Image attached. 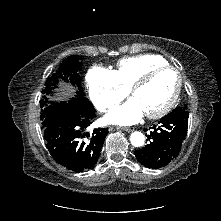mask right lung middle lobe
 <instances>
[{
    "instance_id": "dd1d6c3e",
    "label": "right lung middle lobe",
    "mask_w": 221,
    "mask_h": 221,
    "mask_svg": "<svg viewBox=\"0 0 221 221\" xmlns=\"http://www.w3.org/2000/svg\"><path fill=\"white\" fill-rule=\"evenodd\" d=\"M82 59L83 57L77 55H73L65 59L60 64L58 70L45 82V88L42 90L44 96L40 100V118L42 121L47 115L54 114L68 108L90 109L94 107L92 103L84 97L83 89L80 85L81 78L78 72L82 66ZM60 81L70 83L72 86L76 87L78 89L76 96L68 102H50L47 96L53 93L52 90L57 88Z\"/></svg>"
}]
</instances>
